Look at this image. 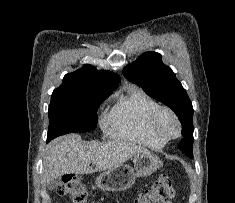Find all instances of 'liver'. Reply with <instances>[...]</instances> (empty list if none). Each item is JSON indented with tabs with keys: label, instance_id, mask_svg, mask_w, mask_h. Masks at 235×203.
Wrapping results in <instances>:
<instances>
[{
	"label": "liver",
	"instance_id": "1",
	"mask_svg": "<svg viewBox=\"0 0 235 203\" xmlns=\"http://www.w3.org/2000/svg\"><path fill=\"white\" fill-rule=\"evenodd\" d=\"M143 151L147 150L121 140L85 142L77 134L61 136L51 141L46 148L43 160L44 181L49 184L65 174L110 170ZM91 163L95 164V169L90 166Z\"/></svg>",
	"mask_w": 235,
	"mask_h": 203
}]
</instances>
